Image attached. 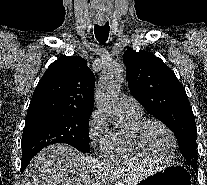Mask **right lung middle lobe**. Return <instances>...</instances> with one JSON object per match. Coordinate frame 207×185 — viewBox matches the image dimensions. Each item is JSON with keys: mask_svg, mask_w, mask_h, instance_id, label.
Listing matches in <instances>:
<instances>
[{"mask_svg": "<svg viewBox=\"0 0 207 185\" xmlns=\"http://www.w3.org/2000/svg\"><path fill=\"white\" fill-rule=\"evenodd\" d=\"M89 117L32 113L27 114L22 137L21 172L33 156L47 145L67 143L78 151L89 152Z\"/></svg>", "mask_w": 207, "mask_h": 185, "instance_id": "right-lung-middle-lobe-1", "label": "right lung middle lobe"}]
</instances>
